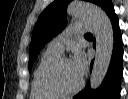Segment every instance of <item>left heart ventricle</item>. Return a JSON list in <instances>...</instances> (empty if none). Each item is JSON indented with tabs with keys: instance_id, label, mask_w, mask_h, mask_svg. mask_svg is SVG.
<instances>
[{
	"instance_id": "b2bd125f",
	"label": "left heart ventricle",
	"mask_w": 128,
	"mask_h": 99,
	"mask_svg": "<svg viewBox=\"0 0 128 99\" xmlns=\"http://www.w3.org/2000/svg\"><path fill=\"white\" fill-rule=\"evenodd\" d=\"M81 80V76L75 70L72 61L64 62L53 77L54 83L62 90L75 88Z\"/></svg>"
}]
</instances>
